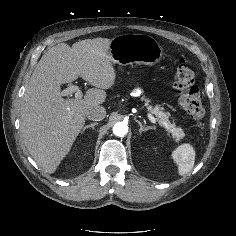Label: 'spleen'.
Returning a JSON list of instances; mask_svg holds the SVG:
<instances>
[{
  "label": "spleen",
  "mask_w": 236,
  "mask_h": 236,
  "mask_svg": "<svg viewBox=\"0 0 236 236\" xmlns=\"http://www.w3.org/2000/svg\"><path fill=\"white\" fill-rule=\"evenodd\" d=\"M174 157L178 164L180 175H185L193 168L195 162V151L190 144L179 146L174 152Z\"/></svg>",
  "instance_id": "3e777b00"
}]
</instances>
